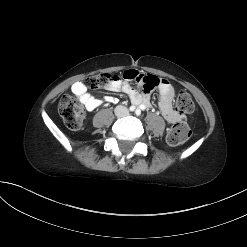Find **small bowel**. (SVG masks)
<instances>
[{
  "instance_id": "small-bowel-1",
  "label": "small bowel",
  "mask_w": 247,
  "mask_h": 247,
  "mask_svg": "<svg viewBox=\"0 0 247 247\" xmlns=\"http://www.w3.org/2000/svg\"><path fill=\"white\" fill-rule=\"evenodd\" d=\"M147 77L157 80V84L151 87L147 81ZM131 83H137V88L131 86ZM104 87L113 92H122L126 94L134 105H138L145 109L150 105V93L157 88L159 93V108L167 122L175 124L180 120V116L173 109V99L175 90L172 84L153 75L141 74L136 70L124 69L122 73H111L104 80ZM72 93L83 103L87 110L93 111L100 107L104 102L115 103L117 99L113 96H105L97 98L87 92V88L83 82H75L71 86Z\"/></svg>"
}]
</instances>
